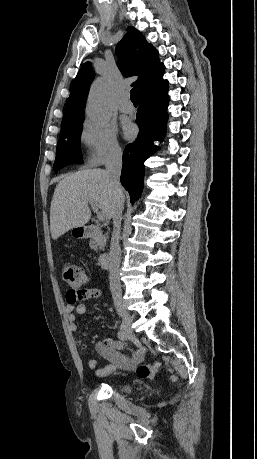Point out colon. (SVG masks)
I'll use <instances>...</instances> for the list:
<instances>
[{"label": "colon", "instance_id": "1", "mask_svg": "<svg viewBox=\"0 0 257 459\" xmlns=\"http://www.w3.org/2000/svg\"><path fill=\"white\" fill-rule=\"evenodd\" d=\"M62 278L69 286L79 291L77 300H83L88 297L86 289L80 288L87 281V274L83 269L71 264L65 265L62 268ZM160 368L161 363L158 361L140 365L136 371L137 376L142 379H152Z\"/></svg>", "mask_w": 257, "mask_h": 459}]
</instances>
